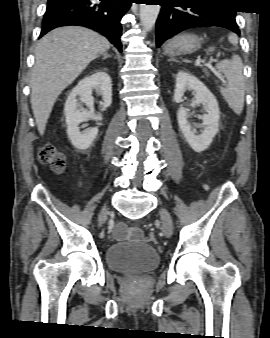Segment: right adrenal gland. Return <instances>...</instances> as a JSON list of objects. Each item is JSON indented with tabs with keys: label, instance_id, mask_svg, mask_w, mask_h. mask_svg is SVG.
<instances>
[{
	"label": "right adrenal gland",
	"instance_id": "2a0ac1e0",
	"mask_svg": "<svg viewBox=\"0 0 270 338\" xmlns=\"http://www.w3.org/2000/svg\"><path fill=\"white\" fill-rule=\"evenodd\" d=\"M109 57H111V55H109L108 53H105V54L103 55V59H106V58H109Z\"/></svg>",
	"mask_w": 270,
	"mask_h": 338
}]
</instances>
